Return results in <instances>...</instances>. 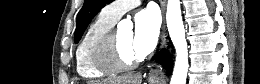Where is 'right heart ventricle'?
Instances as JSON below:
<instances>
[{
  "mask_svg": "<svg viewBox=\"0 0 260 84\" xmlns=\"http://www.w3.org/2000/svg\"><path fill=\"white\" fill-rule=\"evenodd\" d=\"M115 24L101 11L90 24L83 35L76 51V71L85 79H99L111 73L105 72L96 66V48L101 37Z\"/></svg>",
  "mask_w": 260,
  "mask_h": 84,
  "instance_id": "right-heart-ventricle-1",
  "label": "right heart ventricle"
}]
</instances>
